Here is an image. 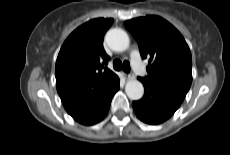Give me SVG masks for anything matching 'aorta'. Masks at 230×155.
<instances>
[{
    "mask_svg": "<svg viewBox=\"0 0 230 155\" xmlns=\"http://www.w3.org/2000/svg\"><path fill=\"white\" fill-rule=\"evenodd\" d=\"M106 42L112 50L121 52L129 47L130 40L123 29L114 28L107 32ZM125 91L129 99L139 100L144 94V87L140 81L132 79L126 83Z\"/></svg>",
    "mask_w": 230,
    "mask_h": 155,
    "instance_id": "obj_1",
    "label": "aorta"
}]
</instances>
